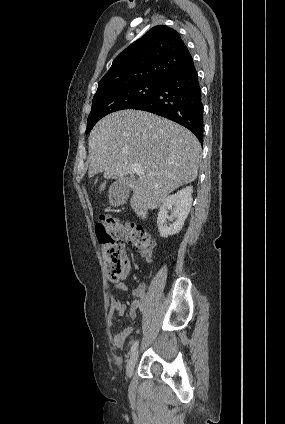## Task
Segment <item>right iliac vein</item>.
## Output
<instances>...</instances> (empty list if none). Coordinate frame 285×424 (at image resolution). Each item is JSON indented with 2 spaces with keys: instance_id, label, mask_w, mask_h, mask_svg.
<instances>
[{
  "instance_id": "obj_1",
  "label": "right iliac vein",
  "mask_w": 285,
  "mask_h": 424,
  "mask_svg": "<svg viewBox=\"0 0 285 424\" xmlns=\"http://www.w3.org/2000/svg\"><path fill=\"white\" fill-rule=\"evenodd\" d=\"M137 360H138V351H135L130 357V359L128 360V363L126 366V374L128 377H131L133 375Z\"/></svg>"
}]
</instances>
